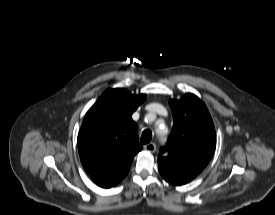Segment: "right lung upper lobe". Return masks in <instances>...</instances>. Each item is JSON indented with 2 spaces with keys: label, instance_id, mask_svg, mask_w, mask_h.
<instances>
[{
  "label": "right lung upper lobe",
  "instance_id": "1",
  "mask_svg": "<svg viewBox=\"0 0 275 215\" xmlns=\"http://www.w3.org/2000/svg\"><path fill=\"white\" fill-rule=\"evenodd\" d=\"M146 95L107 89L89 109L78 134L81 163L100 187L110 188L127 175L142 149L132 113Z\"/></svg>",
  "mask_w": 275,
  "mask_h": 215
}]
</instances>
